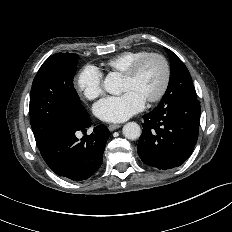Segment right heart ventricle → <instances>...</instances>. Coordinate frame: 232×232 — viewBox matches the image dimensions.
<instances>
[{"instance_id": "1", "label": "right heart ventricle", "mask_w": 232, "mask_h": 232, "mask_svg": "<svg viewBox=\"0 0 232 232\" xmlns=\"http://www.w3.org/2000/svg\"><path fill=\"white\" fill-rule=\"evenodd\" d=\"M145 53L147 52L140 50L124 51L106 61L104 66L110 71L124 74L129 66Z\"/></svg>"}]
</instances>
